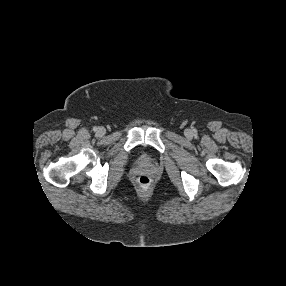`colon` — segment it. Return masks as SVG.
Masks as SVG:
<instances>
[{
    "label": "colon",
    "instance_id": "colon-1",
    "mask_svg": "<svg viewBox=\"0 0 286 286\" xmlns=\"http://www.w3.org/2000/svg\"><path fill=\"white\" fill-rule=\"evenodd\" d=\"M151 178L147 175H141L139 178H138V183L141 187H149L151 185Z\"/></svg>",
    "mask_w": 286,
    "mask_h": 286
}]
</instances>
